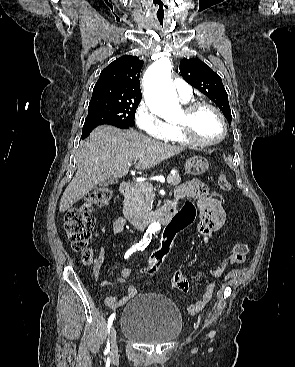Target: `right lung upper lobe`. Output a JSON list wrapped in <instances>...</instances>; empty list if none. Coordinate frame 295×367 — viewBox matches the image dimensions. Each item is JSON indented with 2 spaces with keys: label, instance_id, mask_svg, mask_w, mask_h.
<instances>
[{
  "label": "right lung upper lobe",
  "instance_id": "1",
  "mask_svg": "<svg viewBox=\"0 0 295 367\" xmlns=\"http://www.w3.org/2000/svg\"><path fill=\"white\" fill-rule=\"evenodd\" d=\"M143 61L136 56L125 55L110 63L100 73L93 94L140 100V71Z\"/></svg>",
  "mask_w": 295,
  "mask_h": 367
}]
</instances>
